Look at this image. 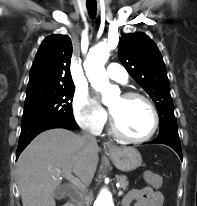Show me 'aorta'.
<instances>
[{
    "label": "aorta",
    "mask_w": 197,
    "mask_h": 206,
    "mask_svg": "<svg viewBox=\"0 0 197 206\" xmlns=\"http://www.w3.org/2000/svg\"><path fill=\"white\" fill-rule=\"evenodd\" d=\"M109 57V47L106 42H101L93 47L84 62V69L92 87L102 92L103 102L106 103L110 96L109 79L104 68ZM94 206H114L111 192L103 188L94 201Z\"/></svg>",
    "instance_id": "762f6f07"
}]
</instances>
